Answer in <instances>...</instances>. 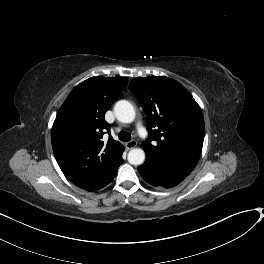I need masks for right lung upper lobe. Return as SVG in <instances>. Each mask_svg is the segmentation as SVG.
<instances>
[{"mask_svg": "<svg viewBox=\"0 0 264 264\" xmlns=\"http://www.w3.org/2000/svg\"><path fill=\"white\" fill-rule=\"evenodd\" d=\"M128 77H91L77 85L59 109L52 127L54 156L64 175L93 192L110 183L123 163L124 147L109 134L104 115Z\"/></svg>", "mask_w": 264, "mask_h": 264, "instance_id": "1", "label": "right lung upper lobe"}]
</instances>
